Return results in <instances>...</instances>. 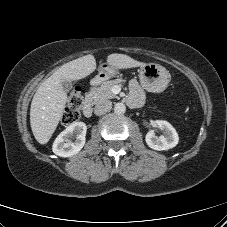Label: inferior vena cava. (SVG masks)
<instances>
[{"label": "inferior vena cava", "instance_id": "inferior-vena-cava-1", "mask_svg": "<svg viewBox=\"0 0 227 227\" xmlns=\"http://www.w3.org/2000/svg\"><path fill=\"white\" fill-rule=\"evenodd\" d=\"M111 108H112V102L109 100H103V101L98 102L95 105L94 113L97 116H101V115L109 112L111 110Z\"/></svg>", "mask_w": 227, "mask_h": 227}]
</instances>
